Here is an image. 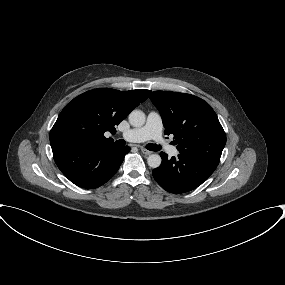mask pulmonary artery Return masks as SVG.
I'll return each instance as SVG.
<instances>
[{"label":"pulmonary artery","instance_id":"obj_1","mask_svg":"<svg viewBox=\"0 0 285 285\" xmlns=\"http://www.w3.org/2000/svg\"><path fill=\"white\" fill-rule=\"evenodd\" d=\"M162 129L163 124L161 116L157 112L151 111L147 116L145 125L129 129L123 132L121 137L129 142H143L153 139L158 143H163ZM167 151L171 156H176L178 154V149L176 147L169 146Z\"/></svg>","mask_w":285,"mask_h":285}]
</instances>
